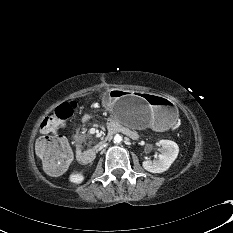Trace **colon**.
I'll list each match as a JSON object with an SVG mask.
<instances>
[{
    "instance_id": "obj_1",
    "label": "colon",
    "mask_w": 233,
    "mask_h": 233,
    "mask_svg": "<svg viewBox=\"0 0 233 233\" xmlns=\"http://www.w3.org/2000/svg\"><path fill=\"white\" fill-rule=\"evenodd\" d=\"M77 108L76 101H70L58 106L41 123L42 136L36 144V151L42 161L43 168L50 175L61 174L69 165L72 152L67 140L61 136H52Z\"/></svg>"
}]
</instances>
